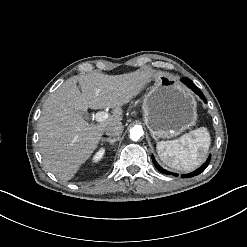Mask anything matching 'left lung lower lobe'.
I'll return each instance as SVG.
<instances>
[{"label": "left lung lower lobe", "mask_w": 247, "mask_h": 247, "mask_svg": "<svg viewBox=\"0 0 247 247\" xmlns=\"http://www.w3.org/2000/svg\"><path fill=\"white\" fill-rule=\"evenodd\" d=\"M181 81L184 84H186L190 89H192L197 95H199L202 100H204L206 102L205 96L203 95L201 90L190 79L182 78ZM152 161H153V164L155 165L156 169L159 172L164 173V174H172L171 172H168V171L164 170L163 168H161L157 164V162L155 161L154 157H152ZM209 162H210V157L207 159V161L199 169H197L196 171H194L190 174L182 175V178H189V177H193V176H196V175L202 173L206 169V167L208 166ZM173 175L177 176V174H173Z\"/></svg>", "instance_id": "obj_1"}]
</instances>
